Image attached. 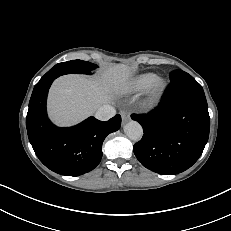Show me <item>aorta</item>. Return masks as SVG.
Wrapping results in <instances>:
<instances>
[{"instance_id":"obj_1","label":"aorta","mask_w":231,"mask_h":231,"mask_svg":"<svg viewBox=\"0 0 231 231\" xmlns=\"http://www.w3.org/2000/svg\"><path fill=\"white\" fill-rule=\"evenodd\" d=\"M124 132L129 139L133 141H138L143 136V128L136 121H130L124 126Z\"/></svg>"}]
</instances>
